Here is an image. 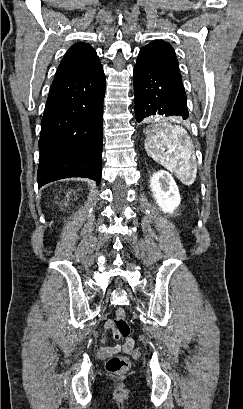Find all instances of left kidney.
<instances>
[{
  "label": "left kidney",
  "instance_id": "obj_1",
  "mask_svg": "<svg viewBox=\"0 0 243 409\" xmlns=\"http://www.w3.org/2000/svg\"><path fill=\"white\" fill-rule=\"evenodd\" d=\"M150 188L157 205L164 213L172 214L179 206V190L168 172L161 170L154 173L150 179Z\"/></svg>",
  "mask_w": 243,
  "mask_h": 409
}]
</instances>
